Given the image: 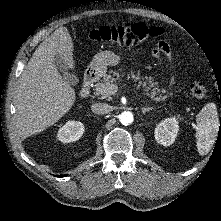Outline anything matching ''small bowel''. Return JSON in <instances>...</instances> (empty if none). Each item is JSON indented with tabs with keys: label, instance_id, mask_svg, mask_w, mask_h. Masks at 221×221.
I'll return each instance as SVG.
<instances>
[{
	"label": "small bowel",
	"instance_id": "c3829d8e",
	"mask_svg": "<svg viewBox=\"0 0 221 221\" xmlns=\"http://www.w3.org/2000/svg\"><path fill=\"white\" fill-rule=\"evenodd\" d=\"M155 51L158 52V53H162L166 56L170 55V48H169L168 44L164 41H161V42L158 43L157 48H156Z\"/></svg>",
	"mask_w": 221,
	"mask_h": 221
}]
</instances>
